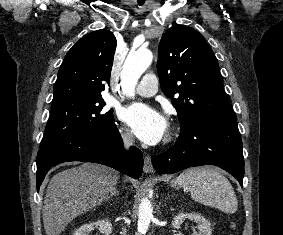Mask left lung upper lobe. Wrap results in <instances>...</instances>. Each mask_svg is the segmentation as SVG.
<instances>
[{
    "label": "left lung upper lobe",
    "mask_w": 283,
    "mask_h": 235,
    "mask_svg": "<svg viewBox=\"0 0 283 235\" xmlns=\"http://www.w3.org/2000/svg\"><path fill=\"white\" fill-rule=\"evenodd\" d=\"M157 70L161 89L176 108L181 131L235 118L214 52L193 28L176 25L163 34Z\"/></svg>",
    "instance_id": "5c2ea615"
}]
</instances>
